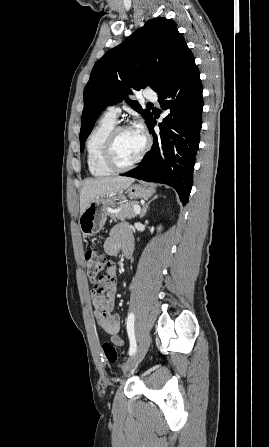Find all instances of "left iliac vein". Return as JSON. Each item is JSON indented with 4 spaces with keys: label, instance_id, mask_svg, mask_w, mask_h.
Wrapping results in <instances>:
<instances>
[{
    "label": "left iliac vein",
    "instance_id": "4c4485c4",
    "mask_svg": "<svg viewBox=\"0 0 269 447\" xmlns=\"http://www.w3.org/2000/svg\"><path fill=\"white\" fill-rule=\"evenodd\" d=\"M150 339L151 336L149 332H144L142 334L136 352L124 364L125 372L138 365L139 362L143 359L149 347Z\"/></svg>",
    "mask_w": 269,
    "mask_h": 447
}]
</instances>
